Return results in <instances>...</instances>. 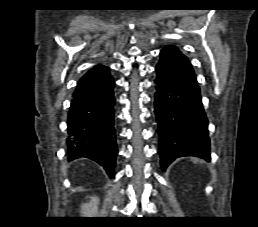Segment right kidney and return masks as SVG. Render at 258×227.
I'll use <instances>...</instances> for the list:
<instances>
[{"instance_id": "right-kidney-1", "label": "right kidney", "mask_w": 258, "mask_h": 227, "mask_svg": "<svg viewBox=\"0 0 258 227\" xmlns=\"http://www.w3.org/2000/svg\"><path fill=\"white\" fill-rule=\"evenodd\" d=\"M99 198L91 196L88 203L81 205V214L83 217H95L98 213Z\"/></svg>"}]
</instances>
